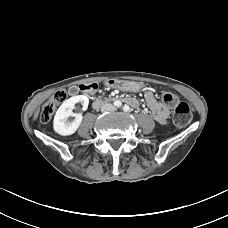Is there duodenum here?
Instances as JSON below:
<instances>
[{"instance_id":"duodenum-1","label":"duodenum","mask_w":228,"mask_h":228,"mask_svg":"<svg viewBox=\"0 0 228 228\" xmlns=\"http://www.w3.org/2000/svg\"><path fill=\"white\" fill-rule=\"evenodd\" d=\"M86 91H91V90H86ZM113 100H116L118 101L116 98H113ZM106 101V99H103V98H99V99H96L93 103L94 107L97 108L99 107L100 105H102L104 102ZM129 100L128 99H125V102H128Z\"/></svg>"}]
</instances>
